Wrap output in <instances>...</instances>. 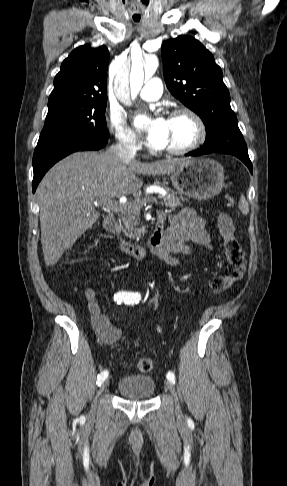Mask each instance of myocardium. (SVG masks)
Wrapping results in <instances>:
<instances>
[{
  "mask_svg": "<svg viewBox=\"0 0 287 486\" xmlns=\"http://www.w3.org/2000/svg\"><path fill=\"white\" fill-rule=\"evenodd\" d=\"M177 117H187L192 121L195 127V136L187 145L175 148L162 149L161 152L167 155H184L199 148L206 139L207 131L202 118L189 108H179L171 112L169 119Z\"/></svg>",
  "mask_w": 287,
  "mask_h": 486,
  "instance_id": "myocardium-1",
  "label": "myocardium"
}]
</instances>
